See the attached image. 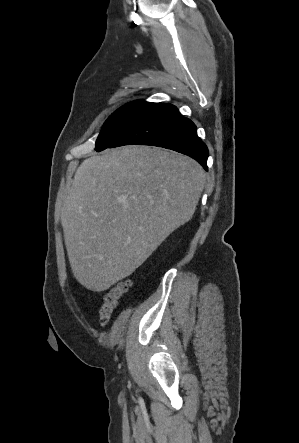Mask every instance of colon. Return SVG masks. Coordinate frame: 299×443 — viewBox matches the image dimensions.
Listing matches in <instances>:
<instances>
[{"mask_svg": "<svg viewBox=\"0 0 299 443\" xmlns=\"http://www.w3.org/2000/svg\"><path fill=\"white\" fill-rule=\"evenodd\" d=\"M130 286L131 280H124L104 295L99 306V316L103 324L108 323L114 310L118 306L120 299L128 291Z\"/></svg>", "mask_w": 299, "mask_h": 443, "instance_id": "1", "label": "colon"}]
</instances>
